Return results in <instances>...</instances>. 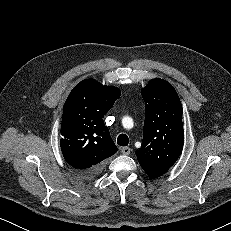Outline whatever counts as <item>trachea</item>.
Returning <instances> with one entry per match:
<instances>
[{"instance_id":"obj_1","label":"trachea","mask_w":231,"mask_h":231,"mask_svg":"<svg viewBox=\"0 0 231 231\" xmlns=\"http://www.w3.org/2000/svg\"><path fill=\"white\" fill-rule=\"evenodd\" d=\"M129 143V138L126 134H120L117 138V144L119 146H127Z\"/></svg>"}]
</instances>
